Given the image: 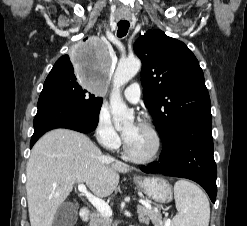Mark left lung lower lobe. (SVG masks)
<instances>
[{
  "label": "left lung lower lobe",
  "mask_w": 247,
  "mask_h": 226,
  "mask_svg": "<svg viewBox=\"0 0 247 226\" xmlns=\"http://www.w3.org/2000/svg\"><path fill=\"white\" fill-rule=\"evenodd\" d=\"M211 131V117L192 120L175 137L163 144L160 163L143 166L141 170L191 179L199 183L215 203L217 169Z\"/></svg>",
  "instance_id": "left-lung-lower-lobe-1"
}]
</instances>
